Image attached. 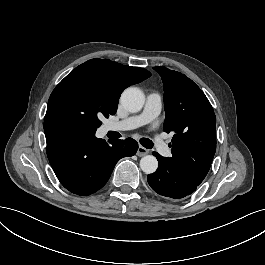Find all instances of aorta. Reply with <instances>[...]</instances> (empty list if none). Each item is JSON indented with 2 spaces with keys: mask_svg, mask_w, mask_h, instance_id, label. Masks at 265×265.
<instances>
[{
  "mask_svg": "<svg viewBox=\"0 0 265 265\" xmlns=\"http://www.w3.org/2000/svg\"><path fill=\"white\" fill-rule=\"evenodd\" d=\"M120 102L127 111L138 112L145 103V94L138 87H128L121 94ZM140 167L144 173L152 174L158 168V161L154 156L146 155L141 158Z\"/></svg>",
  "mask_w": 265,
  "mask_h": 265,
  "instance_id": "obj_1",
  "label": "aorta"
}]
</instances>
